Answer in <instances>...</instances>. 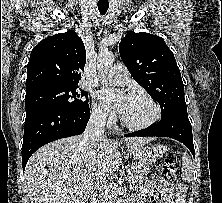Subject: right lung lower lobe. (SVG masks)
<instances>
[{"instance_id":"right-lung-lower-lobe-1","label":"right lung lower lobe","mask_w":222,"mask_h":203,"mask_svg":"<svg viewBox=\"0 0 222 203\" xmlns=\"http://www.w3.org/2000/svg\"><path fill=\"white\" fill-rule=\"evenodd\" d=\"M90 118L89 106L65 108L43 105L26 111L22 145V166L41 146L65 137L82 134Z\"/></svg>"}]
</instances>
